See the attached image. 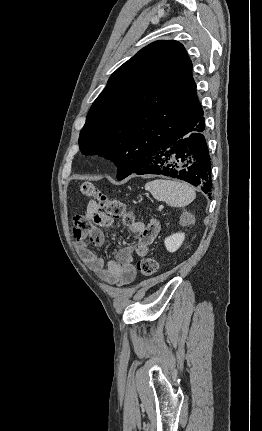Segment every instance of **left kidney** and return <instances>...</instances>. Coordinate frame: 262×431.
<instances>
[{
    "mask_svg": "<svg viewBox=\"0 0 262 431\" xmlns=\"http://www.w3.org/2000/svg\"><path fill=\"white\" fill-rule=\"evenodd\" d=\"M185 239L184 233H175L167 237L164 241L166 249L173 253L179 249Z\"/></svg>",
    "mask_w": 262,
    "mask_h": 431,
    "instance_id": "obj_1",
    "label": "left kidney"
}]
</instances>
